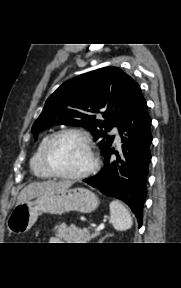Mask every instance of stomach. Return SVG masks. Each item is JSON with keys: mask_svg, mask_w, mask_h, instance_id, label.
I'll use <instances>...</instances> for the list:
<instances>
[{"mask_svg": "<svg viewBox=\"0 0 181 288\" xmlns=\"http://www.w3.org/2000/svg\"><path fill=\"white\" fill-rule=\"evenodd\" d=\"M98 204L97 196L81 187L48 192L16 205L7 219V227L11 232L25 233L34 225L40 213L59 215L70 211L91 213Z\"/></svg>", "mask_w": 181, "mask_h": 288, "instance_id": "1", "label": "stomach"}]
</instances>
